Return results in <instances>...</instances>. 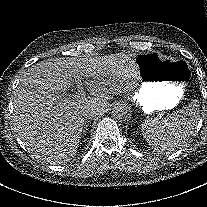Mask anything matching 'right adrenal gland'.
I'll return each mask as SVG.
<instances>
[{
  "instance_id": "obj_1",
  "label": "right adrenal gland",
  "mask_w": 207,
  "mask_h": 207,
  "mask_svg": "<svg viewBox=\"0 0 207 207\" xmlns=\"http://www.w3.org/2000/svg\"><path fill=\"white\" fill-rule=\"evenodd\" d=\"M89 123H90L89 120H85V121L83 122L82 136H83V135H86V132H87V128H88V126H89Z\"/></svg>"
}]
</instances>
